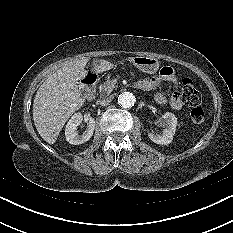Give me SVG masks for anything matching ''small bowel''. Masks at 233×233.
I'll return each mask as SVG.
<instances>
[{
	"label": "small bowel",
	"instance_id": "small-bowel-1",
	"mask_svg": "<svg viewBox=\"0 0 233 233\" xmlns=\"http://www.w3.org/2000/svg\"><path fill=\"white\" fill-rule=\"evenodd\" d=\"M141 81L145 85V90H154L162 82L171 83L172 85L176 87L178 80L172 68L163 67L161 68L158 76L146 78ZM155 101L160 105L169 104V106L175 110H180L183 107V100H182V96L179 91H174L169 98H167L162 93H156Z\"/></svg>",
	"mask_w": 233,
	"mask_h": 233
}]
</instances>
